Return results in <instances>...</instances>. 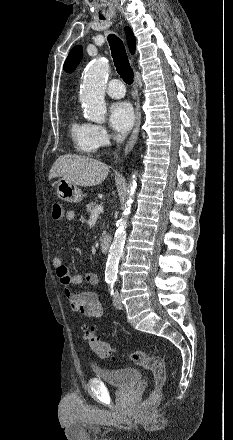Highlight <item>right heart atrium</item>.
<instances>
[{"mask_svg": "<svg viewBox=\"0 0 233 440\" xmlns=\"http://www.w3.org/2000/svg\"><path fill=\"white\" fill-rule=\"evenodd\" d=\"M91 138L96 151L109 147L116 139L104 126L99 124H91Z\"/></svg>", "mask_w": 233, "mask_h": 440, "instance_id": "obj_1", "label": "right heart atrium"}]
</instances>
